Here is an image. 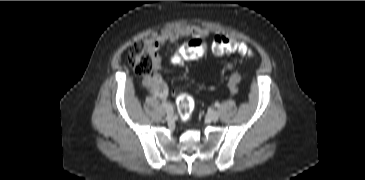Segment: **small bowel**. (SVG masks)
Masks as SVG:
<instances>
[{
  "mask_svg": "<svg viewBox=\"0 0 365 180\" xmlns=\"http://www.w3.org/2000/svg\"><path fill=\"white\" fill-rule=\"evenodd\" d=\"M205 35H206V30L204 28L194 25L183 28L169 29L159 34L158 36L147 40L146 43L156 52L157 73L152 76L144 78L143 80L144 85L147 88H149L155 95L165 98L168 95L169 89L161 75L165 71V67L161 64L158 58L157 50L160 47L172 45L180 38L189 37L195 39V38H202ZM234 76H239V75L236 74ZM234 76H232V78Z\"/></svg>",
  "mask_w": 365,
  "mask_h": 180,
  "instance_id": "small-bowel-1",
  "label": "small bowel"
}]
</instances>
